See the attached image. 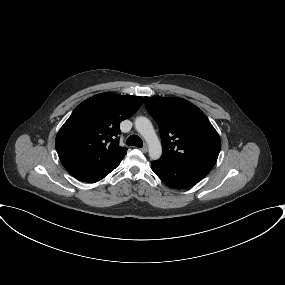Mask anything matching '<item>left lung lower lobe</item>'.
<instances>
[{
    "instance_id": "0a47b994",
    "label": "left lung lower lobe",
    "mask_w": 285,
    "mask_h": 285,
    "mask_svg": "<svg viewBox=\"0 0 285 285\" xmlns=\"http://www.w3.org/2000/svg\"><path fill=\"white\" fill-rule=\"evenodd\" d=\"M153 172L169 187L175 189L189 188L208 173L180 164H171L162 159L151 163Z\"/></svg>"
}]
</instances>
